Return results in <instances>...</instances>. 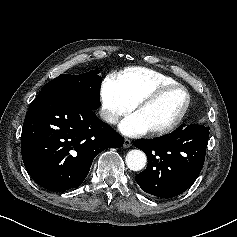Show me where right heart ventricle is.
Instances as JSON below:
<instances>
[{"label":"right heart ventricle","instance_id":"obj_1","mask_svg":"<svg viewBox=\"0 0 237 237\" xmlns=\"http://www.w3.org/2000/svg\"><path fill=\"white\" fill-rule=\"evenodd\" d=\"M113 76L123 94L133 104L159 86L177 83L170 76L142 67L127 68Z\"/></svg>","mask_w":237,"mask_h":237}]
</instances>
